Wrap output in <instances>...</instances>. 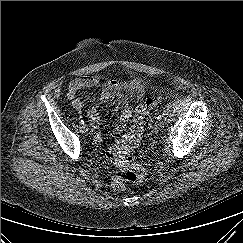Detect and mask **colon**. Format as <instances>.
Returning a JSON list of instances; mask_svg holds the SVG:
<instances>
[{
    "label": "colon",
    "instance_id": "colon-1",
    "mask_svg": "<svg viewBox=\"0 0 243 243\" xmlns=\"http://www.w3.org/2000/svg\"><path fill=\"white\" fill-rule=\"evenodd\" d=\"M162 100V96L146 99L137 108L129 132L107 151V159L115 166V170L111 173V184L114 189L123 190L126 183H137L143 179L145 167L137 164L130 153L138 147L141 141L149 113Z\"/></svg>",
    "mask_w": 243,
    "mask_h": 243
}]
</instances>
